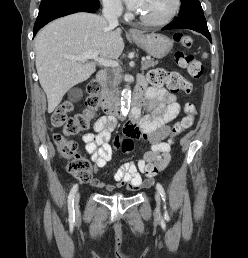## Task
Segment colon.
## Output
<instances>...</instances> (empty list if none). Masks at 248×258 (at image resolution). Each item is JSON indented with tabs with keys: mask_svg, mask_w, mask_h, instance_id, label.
<instances>
[{
	"mask_svg": "<svg viewBox=\"0 0 248 258\" xmlns=\"http://www.w3.org/2000/svg\"><path fill=\"white\" fill-rule=\"evenodd\" d=\"M174 40L185 48L193 45L192 38L184 33L177 32L174 34ZM177 65L185 69L193 79H199L203 73V67L194 55L185 54L178 51L175 54ZM149 81L155 86L166 85L171 91L182 90L186 93L191 92V87L175 72H168L164 69H154L149 73ZM100 85L96 80H91L87 84L88 97L86 100V110L73 117L68 114L73 109L72 102L66 100L62 102L51 115V123L55 127H60L61 131L53 134V141L60 156L69 159L68 171L77 180L82 183H88L92 180L93 170L90 163L78 152V146L69 136L76 135L87 129L89 121L94 111L100 104L99 100ZM197 111L192 103H186L184 106V115L172 128L171 136L183 133L191 127L196 117ZM123 145V155H133L135 144H131L127 139L122 142L120 139L114 140L116 149ZM157 171V164L153 163L146 168L147 177H153Z\"/></svg>",
	"mask_w": 248,
	"mask_h": 258,
	"instance_id": "obj_1",
	"label": "colon"
}]
</instances>
